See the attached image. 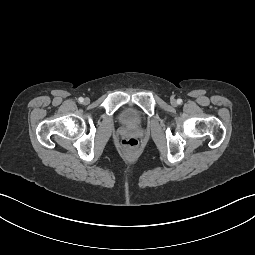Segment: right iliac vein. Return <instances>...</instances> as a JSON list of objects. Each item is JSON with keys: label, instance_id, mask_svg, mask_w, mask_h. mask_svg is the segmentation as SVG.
<instances>
[{"label": "right iliac vein", "instance_id": "63e3f726", "mask_svg": "<svg viewBox=\"0 0 255 255\" xmlns=\"http://www.w3.org/2000/svg\"><path fill=\"white\" fill-rule=\"evenodd\" d=\"M84 103H85V104H88V103H89V99L86 98V99L84 100Z\"/></svg>", "mask_w": 255, "mask_h": 255}]
</instances>
